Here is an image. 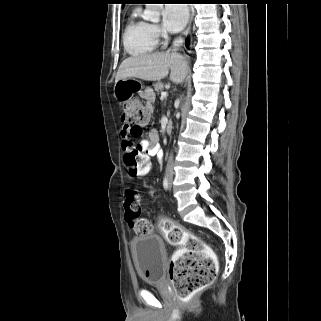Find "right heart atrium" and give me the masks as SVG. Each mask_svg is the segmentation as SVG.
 <instances>
[{"mask_svg": "<svg viewBox=\"0 0 321 321\" xmlns=\"http://www.w3.org/2000/svg\"><path fill=\"white\" fill-rule=\"evenodd\" d=\"M151 29L157 37H159L162 34V31L158 25L152 24Z\"/></svg>", "mask_w": 321, "mask_h": 321, "instance_id": "1", "label": "right heart atrium"}]
</instances>
